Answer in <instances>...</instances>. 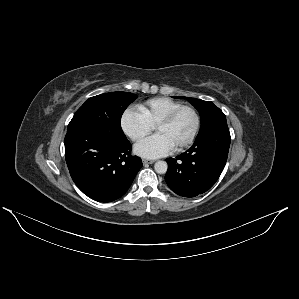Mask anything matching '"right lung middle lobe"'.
Listing matches in <instances>:
<instances>
[{
  "label": "right lung middle lobe",
  "mask_w": 299,
  "mask_h": 299,
  "mask_svg": "<svg viewBox=\"0 0 299 299\" xmlns=\"http://www.w3.org/2000/svg\"><path fill=\"white\" fill-rule=\"evenodd\" d=\"M137 96L129 92H111L91 97L76 111L68 125L73 127H98L124 137L120 122L127 106Z\"/></svg>",
  "instance_id": "dd1d6c3e"
}]
</instances>
